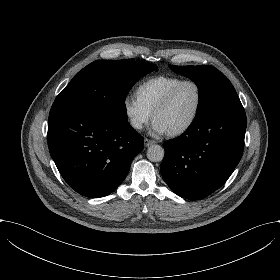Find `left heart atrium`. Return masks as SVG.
Instances as JSON below:
<instances>
[{"instance_id":"1","label":"left heart atrium","mask_w":280,"mask_h":280,"mask_svg":"<svg viewBox=\"0 0 280 280\" xmlns=\"http://www.w3.org/2000/svg\"><path fill=\"white\" fill-rule=\"evenodd\" d=\"M170 132L167 125L160 119L156 118L151 127V134L154 136H161Z\"/></svg>"}]
</instances>
